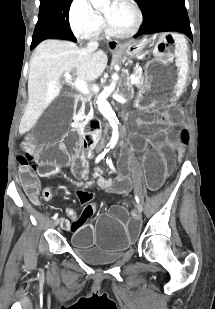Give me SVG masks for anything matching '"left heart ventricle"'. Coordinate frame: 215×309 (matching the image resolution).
I'll use <instances>...</instances> for the list:
<instances>
[{
	"label": "left heart ventricle",
	"mask_w": 215,
	"mask_h": 309,
	"mask_svg": "<svg viewBox=\"0 0 215 309\" xmlns=\"http://www.w3.org/2000/svg\"><path fill=\"white\" fill-rule=\"evenodd\" d=\"M111 15V23L116 25L117 29H126L131 24V14L124 9L112 10Z\"/></svg>",
	"instance_id": "b2bd125f"
}]
</instances>
